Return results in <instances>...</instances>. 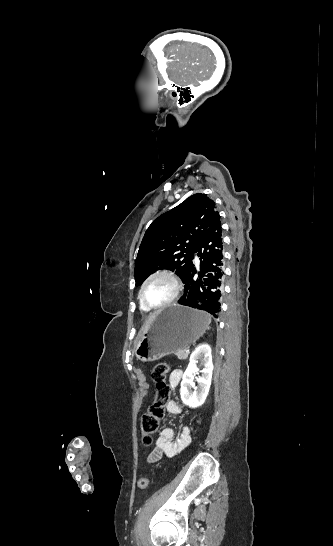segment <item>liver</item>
Returning a JSON list of instances; mask_svg holds the SVG:
<instances>
[{
	"label": "liver",
	"instance_id": "6515ba94",
	"mask_svg": "<svg viewBox=\"0 0 333 546\" xmlns=\"http://www.w3.org/2000/svg\"><path fill=\"white\" fill-rule=\"evenodd\" d=\"M154 317H155V314L151 315V316L148 318V320H147L145 326H144L143 329H142V331H143L144 333L148 330L149 325H150V323H151V321L153 320Z\"/></svg>",
	"mask_w": 333,
	"mask_h": 546
}]
</instances>
